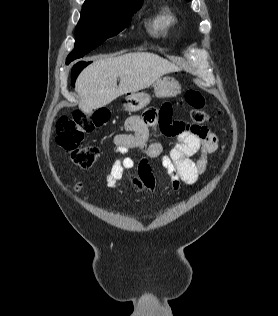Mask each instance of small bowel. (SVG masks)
<instances>
[{"label":"small bowel","mask_w":278,"mask_h":316,"mask_svg":"<svg viewBox=\"0 0 278 316\" xmlns=\"http://www.w3.org/2000/svg\"><path fill=\"white\" fill-rule=\"evenodd\" d=\"M171 115V107L166 103L159 110L149 108L142 116L133 115L125 120L127 133L117 134L113 140V152L119 157L107 175L110 188H115L120 180L126 178L138 191L152 193L156 188V178L150 165L152 159H160L175 192L183 184L196 183L206 172L208 155L215 153L219 147L217 136L206 127L198 132L184 128L173 133L174 126L179 122L172 121ZM155 129L176 137L177 142L170 151L164 152L160 142L150 141L151 130ZM130 150L141 152L143 157L136 162L128 156Z\"/></svg>","instance_id":"c3829d8e"}]
</instances>
